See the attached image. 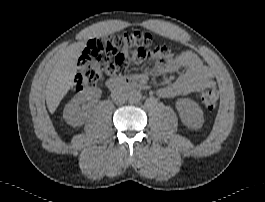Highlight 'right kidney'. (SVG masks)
Masks as SVG:
<instances>
[{"label": "right kidney", "instance_id": "right-kidney-1", "mask_svg": "<svg viewBox=\"0 0 265 202\" xmlns=\"http://www.w3.org/2000/svg\"><path fill=\"white\" fill-rule=\"evenodd\" d=\"M101 94V89L96 87L78 92L64 108L63 117L66 122L73 127L83 125L87 119L88 110L98 102Z\"/></svg>", "mask_w": 265, "mask_h": 202}]
</instances>
